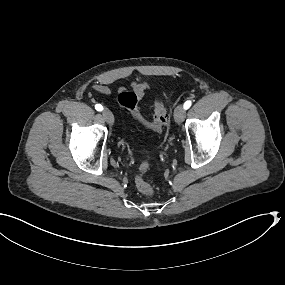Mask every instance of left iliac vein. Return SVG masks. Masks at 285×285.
Masks as SVG:
<instances>
[{
  "instance_id": "4c4485c4",
  "label": "left iliac vein",
  "mask_w": 285,
  "mask_h": 285,
  "mask_svg": "<svg viewBox=\"0 0 285 285\" xmlns=\"http://www.w3.org/2000/svg\"><path fill=\"white\" fill-rule=\"evenodd\" d=\"M186 111L182 105H178L174 111V118L177 123H182L185 119Z\"/></svg>"
}]
</instances>
